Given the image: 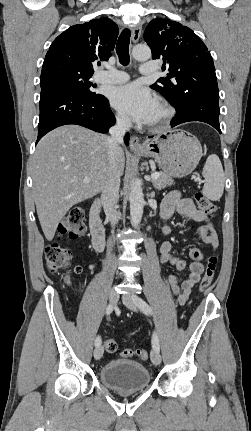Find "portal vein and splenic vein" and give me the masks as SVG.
I'll return each mask as SVG.
<instances>
[{"label":"portal vein and splenic vein","mask_w":251,"mask_h":431,"mask_svg":"<svg viewBox=\"0 0 251 431\" xmlns=\"http://www.w3.org/2000/svg\"><path fill=\"white\" fill-rule=\"evenodd\" d=\"M159 177V174L158 173H153V174H151V179L152 180H155V179H157ZM83 182H85V183H87V182H89V179L88 178H84L83 179Z\"/></svg>","instance_id":"portal-vein-and-splenic-vein-1"}]
</instances>
